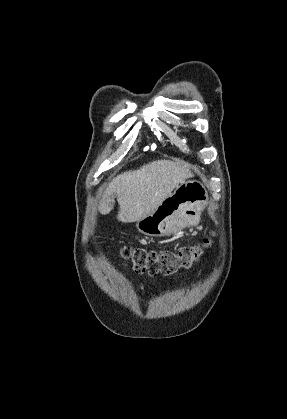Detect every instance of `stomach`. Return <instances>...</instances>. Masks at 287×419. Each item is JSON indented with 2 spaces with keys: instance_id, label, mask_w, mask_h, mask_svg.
Instances as JSON below:
<instances>
[{
  "instance_id": "1",
  "label": "stomach",
  "mask_w": 287,
  "mask_h": 419,
  "mask_svg": "<svg viewBox=\"0 0 287 419\" xmlns=\"http://www.w3.org/2000/svg\"><path fill=\"white\" fill-rule=\"evenodd\" d=\"M208 193L197 180L181 183L151 214L137 221L139 232L154 237L169 236L200 217Z\"/></svg>"
}]
</instances>
